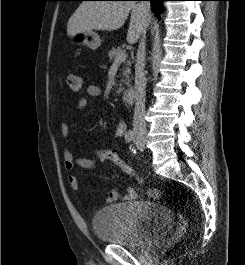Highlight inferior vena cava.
Segmentation results:
<instances>
[{
  "mask_svg": "<svg viewBox=\"0 0 245 265\" xmlns=\"http://www.w3.org/2000/svg\"><path fill=\"white\" fill-rule=\"evenodd\" d=\"M139 9L142 11L143 18L150 16V3L141 1L138 3ZM143 32L140 40L135 63V109L133 116V131L135 134H146L145 122V89L147 80L144 75L145 68V37Z\"/></svg>",
  "mask_w": 245,
  "mask_h": 265,
  "instance_id": "1",
  "label": "inferior vena cava"
}]
</instances>
